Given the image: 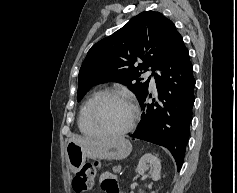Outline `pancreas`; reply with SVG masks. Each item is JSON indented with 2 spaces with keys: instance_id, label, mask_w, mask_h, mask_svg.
Masks as SVG:
<instances>
[{
  "instance_id": "cf45deb5",
  "label": "pancreas",
  "mask_w": 237,
  "mask_h": 193,
  "mask_svg": "<svg viewBox=\"0 0 237 193\" xmlns=\"http://www.w3.org/2000/svg\"><path fill=\"white\" fill-rule=\"evenodd\" d=\"M120 169H121V166L120 165H118V166H115V167H113V172L114 173H117V172H119L120 171Z\"/></svg>"
}]
</instances>
